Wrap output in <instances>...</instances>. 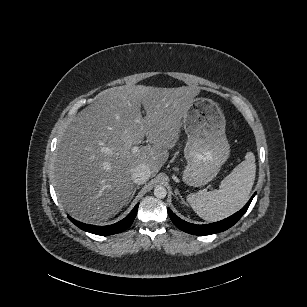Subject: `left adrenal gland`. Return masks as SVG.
I'll list each match as a JSON object with an SVG mask.
<instances>
[{
	"instance_id": "a2214340",
	"label": "left adrenal gland",
	"mask_w": 307,
	"mask_h": 307,
	"mask_svg": "<svg viewBox=\"0 0 307 307\" xmlns=\"http://www.w3.org/2000/svg\"><path fill=\"white\" fill-rule=\"evenodd\" d=\"M175 193H176L177 195H179V197L181 198L182 202H183L184 204H186L185 201H184V199H183L182 196L180 195L178 189H175Z\"/></svg>"
}]
</instances>
